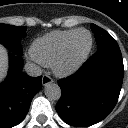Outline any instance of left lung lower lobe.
<instances>
[{
  "label": "left lung lower lobe",
  "instance_id": "obj_1",
  "mask_svg": "<svg viewBox=\"0 0 128 128\" xmlns=\"http://www.w3.org/2000/svg\"><path fill=\"white\" fill-rule=\"evenodd\" d=\"M123 75L118 45L97 50L74 75L60 81L56 111L65 123L77 127L103 120L117 103Z\"/></svg>",
  "mask_w": 128,
  "mask_h": 128
}]
</instances>
